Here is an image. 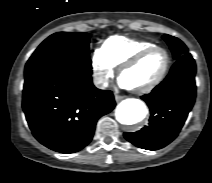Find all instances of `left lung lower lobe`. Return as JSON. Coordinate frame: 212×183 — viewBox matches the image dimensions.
<instances>
[{
	"label": "left lung lower lobe",
	"instance_id": "0a47b994",
	"mask_svg": "<svg viewBox=\"0 0 212 183\" xmlns=\"http://www.w3.org/2000/svg\"><path fill=\"white\" fill-rule=\"evenodd\" d=\"M195 73L191 54L178 58L165 80L141 97L151 112L148 126L135 133L126 132L124 137L146 150H157L173 141L195 102Z\"/></svg>",
	"mask_w": 212,
	"mask_h": 183
}]
</instances>
